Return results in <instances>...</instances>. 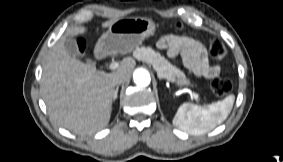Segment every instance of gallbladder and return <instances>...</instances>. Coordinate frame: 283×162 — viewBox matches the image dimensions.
I'll use <instances>...</instances> for the list:
<instances>
[{
    "mask_svg": "<svg viewBox=\"0 0 283 162\" xmlns=\"http://www.w3.org/2000/svg\"><path fill=\"white\" fill-rule=\"evenodd\" d=\"M65 50L74 57H79L80 52L78 49V45L75 39L67 38L64 42Z\"/></svg>",
    "mask_w": 283,
    "mask_h": 162,
    "instance_id": "obj_1",
    "label": "gallbladder"
}]
</instances>
